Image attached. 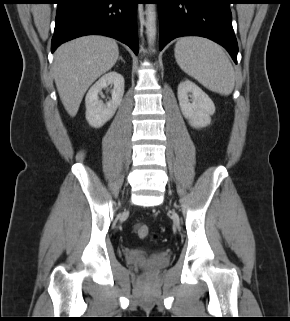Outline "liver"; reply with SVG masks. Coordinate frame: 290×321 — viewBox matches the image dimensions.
Wrapping results in <instances>:
<instances>
[{
    "label": "liver",
    "instance_id": "6515ba94",
    "mask_svg": "<svg viewBox=\"0 0 290 321\" xmlns=\"http://www.w3.org/2000/svg\"><path fill=\"white\" fill-rule=\"evenodd\" d=\"M116 41L100 35L79 37L55 52L53 77L60 99L71 117L79 109L90 85L117 62Z\"/></svg>",
    "mask_w": 290,
    "mask_h": 321
}]
</instances>
